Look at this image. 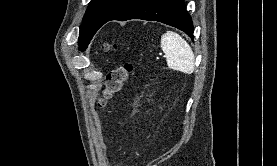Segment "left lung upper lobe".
I'll list each match as a JSON object with an SVG mask.
<instances>
[{
	"instance_id": "left-lung-upper-lobe-1",
	"label": "left lung upper lobe",
	"mask_w": 277,
	"mask_h": 166,
	"mask_svg": "<svg viewBox=\"0 0 277 166\" xmlns=\"http://www.w3.org/2000/svg\"><path fill=\"white\" fill-rule=\"evenodd\" d=\"M134 0H91L80 26L79 50L84 51L97 30Z\"/></svg>"
}]
</instances>
